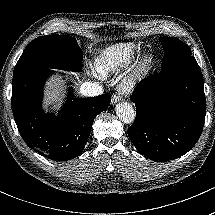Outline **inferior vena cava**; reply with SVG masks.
I'll return each instance as SVG.
<instances>
[{
	"label": "inferior vena cava",
	"mask_w": 215,
	"mask_h": 215,
	"mask_svg": "<svg viewBox=\"0 0 215 215\" xmlns=\"http://www.w3.org/2000/svg\"><path fill=\"white\" fill-rule=\"evenodd\" d=\"M79 93L84 97H95L103 93V87L97 82H84L79 87Z\"/></svg>",
	"instance_id": "inferior-vena-cava-1"
}]
</instances>
